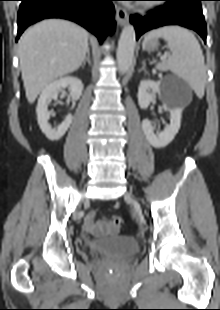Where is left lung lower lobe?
Masks as SVG:
<instances>
[{
    "label": "left lung lower lobe",
    "mask_w": 220,
    "mask_h": 310,
    "mask_svg": "<svg viewBox=\"0 0 220 310\" xmlns=\"http://www.w3.org/2000/svg\"><path fill=\"white\" fill-rule=\"evenodd\" d=\"M157 1H165V4L150 11L151 15L130 16V22L135 27L137 39L149 30L166 25H179L196 31L206 42L207 29L201 9L203 0Z\"/></svg>",
    "instance_id": "0a47b994"
}]
</instances>
